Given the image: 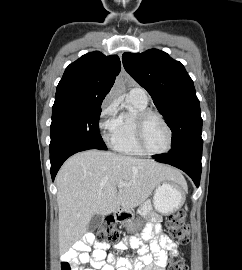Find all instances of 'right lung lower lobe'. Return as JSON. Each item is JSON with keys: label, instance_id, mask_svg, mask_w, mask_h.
Instances as JSON below:
<instances>
[{"label": "right lung lower lobe", "instance_id": "obj_1", "mask_svg": "<svg viewBox=\"0 0 242 270\" xmlns=\"http://www.w3.org/2000/svg\"><path fill=\"white\" fill-rule=\"evenodd\" d=\"M88 149H97V148L89 146V145L71 146V147L63 148L57 151L56 153L50 155L52 180L54 181V178L59 168L68 157H70L71 155L77 152L88 150Z\"/></svg>", "mask_w": 242, "mask_h": 270}]
</instances>
